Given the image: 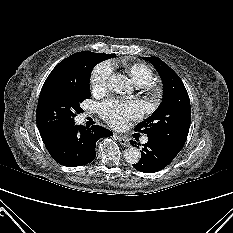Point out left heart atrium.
<instances>
[{
    "label": "left heart atrium",
    "instance_id": "left-heart-atrium-1",
    "mask_svg": "<svg viewBox=\"0 0 233 233\" xmlns=\"http://www.w3.org/2000/svg\"><path fill=\"white\" fill-rule=\"evenodd\" d=\"M102 118L111 126L124 127L128 121L142 115V107L135 101L109 99L100 105Z\"/></svg>",
    "mask_w": 233,
    "mask_h": 233
}]
</instances>
